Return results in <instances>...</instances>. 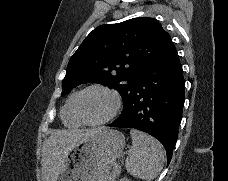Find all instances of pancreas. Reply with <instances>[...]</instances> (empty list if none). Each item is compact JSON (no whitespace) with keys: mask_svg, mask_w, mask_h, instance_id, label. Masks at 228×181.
<instances>
[{"mask_svg":"<svg viewBox=\"0 0 228 181\" xmlns=\"http://www.w3.org/2000/svg\"><path fill=\"white\" fill-rule=\"evenodd\" d=\"M120 173H121L120 167L118 169H114V171H112V173H110V175L108 177V181H115V179H117V177H119Z\"/></svg>","mask_w":228,"mask_h":181,"instance_id":"pancreas-1","label":"pancreas"}]
</instances>
